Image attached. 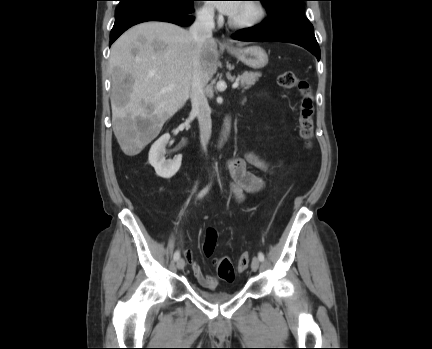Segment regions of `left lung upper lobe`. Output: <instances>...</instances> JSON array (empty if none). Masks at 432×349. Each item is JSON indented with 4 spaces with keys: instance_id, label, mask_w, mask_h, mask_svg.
<instances>
[{
    "instance_id": "obj_1",
    "label": "left lung upper lobe",
    "mask_w": 432,
    "mask_h": 349,
    "mask_svg": "<svg viewBox=\"0 0 432 349\" xmlns=\"http://www.w3.org/2000/svg\"><path fill=\"white\" fill-rule=\"evenodd\" d=\"M261 1L270 16L277 14L283 15H297L303 16L304 14V1L307 0H259Z\"/></svg>"
}]
</instances>
